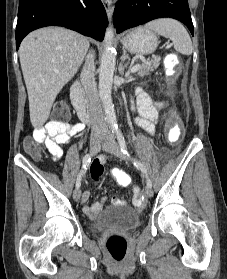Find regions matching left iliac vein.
<instances>
[{
    "mask_svg": "<svg viewBox=\"0 0 227 279\" xmlns=\"http://www.w3.org/2000/svg\"><path fill=\"white\" fill-rule=\"evenodd\" d=\"M102 148L120 159L129 160V158L121 151L120 146L113 136H108L106 138L105 142L102 144ZM145 195L149 198L153 196V190L151 187L147 186L145 188Z\"/></svg>",
    "mask_w": 227,
    "mask_h": 279,
    "instance_id": "left-iliac-vein-1",
    "label": "left iliac vein"
}]
</instances>
